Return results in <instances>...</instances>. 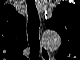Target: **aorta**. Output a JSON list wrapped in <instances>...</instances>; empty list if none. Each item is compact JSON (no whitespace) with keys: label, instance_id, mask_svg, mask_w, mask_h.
Returning <instances> with one entry per match:
<instances>
[{"label":"aorta","instance_id":"762f6f07","mask_svg":"<svg viewBox=\"0 0 80 60\" xmlns=\"http://www.w3.org/2000/svg\"><path fill=\"white\" fill-rule=\"evenodd\" d=\"M45 39L49 48L58 49L60 47L61 39L57 33L46 34Z\"/></svg>","mask_w":80,"mask_h":60}]
</instances>
